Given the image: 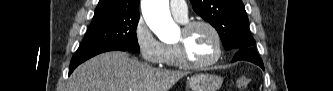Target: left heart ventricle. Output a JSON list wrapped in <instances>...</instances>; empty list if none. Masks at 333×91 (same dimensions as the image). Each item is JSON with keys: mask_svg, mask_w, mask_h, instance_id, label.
Listing matches in <instances>:
<instances>
[{"mask_svg": "<svg viewBox=\"0 0 333 91\" xmlns=\"http://www.w3.org/2000/svg\"><path fill=\"white\" fill-rule=\"evenodd\" d=\"M185 43L188 58L193 62H204L216 53V42L212 33L205 27H196L190 33L181 30L176 43Z\"/></svg>", "mask_w": 333, "mask_h": 91, "instance_id": "b2bd125f", "label": "left heart ventricle"}]
</instances>
